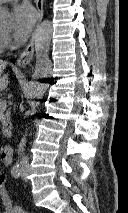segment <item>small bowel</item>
I'll use <instances>...</instances> for the list:
<instances>
[{
	"label": "small bowel",
	"mask_w": 128,
	"mask_h": 213,
	"mask_svg": "<svg viewBox=\"0 0 128 213\" xmlns=\"http://www.w3.org/2000/svg\"><path fill=\"white\" fill-rule=\"evenodd\" d=\"M6 175L0 174V198L3 205V213H12L13 202L5 187Z\"/></svg>",
	"instance_id": "obj_1"
}]
</instances>
